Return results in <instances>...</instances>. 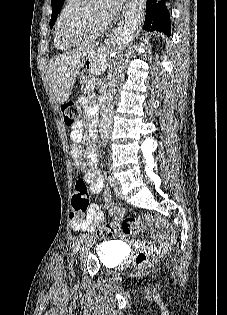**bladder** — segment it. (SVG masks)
Returning a JSON list of instances; mask_svg holds the SVG:
<instances>
[{"label":"bladder","mask_w":227,"mask_h":315,"mask_svg":"<svg viewBox=\"0 0 227 315\" xmlns=\"http://www.w3.org/2000/svg\"><path fill=\"white\" fill-rule=\"evenodd\" d=\"M97 257L101 264L108 268L116 267L123 258L122 250L113 243H102L98 245Z\"/></svg>","instance_id":"obj_1"}]
</instances>
